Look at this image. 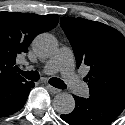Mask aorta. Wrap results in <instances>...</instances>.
I'll list each match as a JSON object with an SVG mask.
<instances>
[{
	"mask_svg": "<svg viewBox=\"0 0 125 125\" xmlns=\"http://www.w3.org/2000/svg\"><path fill=\"white\" fill-rule=\"evenodd\" d=\"M56 48V41L50 34H40L33 41V50L38 56L43 58L52 56ZM53 107L60 114H69L75 108V100L73 96L68 93H60L54 97Z\"/></svg>",
	"mask_w": 125,
	"mask_h": 125,
	"instance_id": "obj_1",
	"label": "aorta"
}]
</instances>
